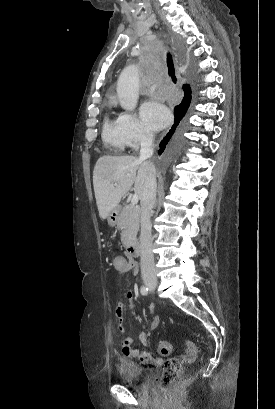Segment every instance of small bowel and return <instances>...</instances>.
I'll return each instance as SVG.
<instances>
[{
    "label": "small bowel",
    "instance_id": "obj_1",
    "mask_svg": "<svg viewBox=\"0 0 275 409\" xmlns=\"http://www.w3.org/2000/svg\"><path fill=\"white\" fill-rule=\"evenodd\" d=\"M123 259V273L126 272H133L134 274L138 273L139 271V266L136 261H128L125 258ZM127 297L129 299H132L134 297V292L132 290H129L127 292ZM131 311H134V306L131 305L129 307ZM148 310L149 312L154 311V307L152 304H148ZM125 313V307L124 304L121 300H118L115 306V315L118 319H121ZM160 322V319L158 316H153L151 320L148 323V328L151 330H154L158 327ZM116 325L118 327H121L123 325V322L121 320H118L116 322ZM138 342L142 345H145L147 343V334L145 332H141L138 336ZM122 349L123 353L126 355L128 360H137L138 358L142 363H150L154 366H160L162 364V359L158 357H153L150 353H147L145 351H140L138 349H134L132 346L135 344V339L133 337H126L125 340L122 342Z\"/></svg>",
    "mask_w": 275,
    "mask_h": 409
}]
</instances>
